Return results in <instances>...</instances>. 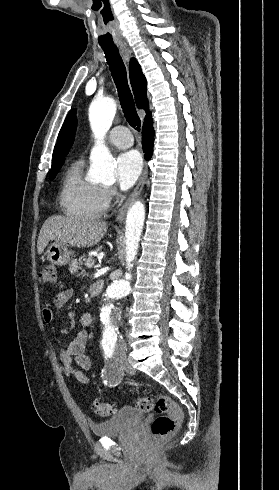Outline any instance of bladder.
Here are the masks:
<instances>
[{"instance_id": "obj_1", "label": "bladder", "mask_w": 279, "mask_h": 490, "mask_svg": "<svg viewBox=\"0 0 279 490\" xmlns=\"http://www.w3.org/2000/svg\"><path fill=\"white\" fill-rule=\"evenodd\" d=\"M145 417L146 413L137 407L122 405L113 417L101 422H92L90 429L94 437H112L120 432H131Z\"/></svg>"}]
</instances>
